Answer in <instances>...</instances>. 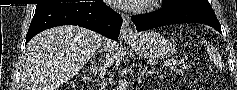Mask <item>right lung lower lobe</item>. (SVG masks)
<instances>
[{
    "mask_svg": "<svg viewBox=\"0 0 237 90\" xmlns=\"http://www.w3.org/2000/svg\"><path fill=\"white\" fill-rule=\"evenodd\" d=\"M60 25L85 27L117 41L122 17L103 1L49 4L36 8L26 35V44L43 30Z\"/></svg>",
    "mask_w": 237,
    "mask_h": 90,
    "instance_id": "98d812e1",
    "label": "right lung lower lobe"
}]
</instances>
